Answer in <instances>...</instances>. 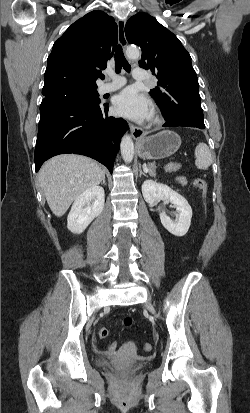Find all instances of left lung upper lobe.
Returning <instances> with one entry per match:
<instances>
[{
	"label": "left lung upper lobe",
	"instance_id": "5c2ea615",
	"mask_svg": "<svg viewBox=\"0 0 250 413\" xmlns=\"http://www.w3.org/2000/svg\"><path fill=\"white\" fill-rule=\"evenodd\" d=\"M127 41L142 48L139 66L158 79L151 96L157 104L173 100L176 94L198 92L199 84L191 57L179 39L146 13L132 16L126 23Z\"/></svg>",
	"mask_w": 250,
	"mask_h": 413
}]
</instances>
